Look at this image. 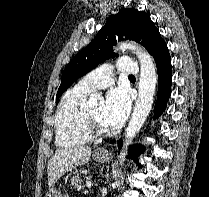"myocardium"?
I'll list each match as a JSON object with an SVG mask.
<instances>
[{"instance_id": "f54148a6", "label": "myocardium", "mask_w": 209, "mask_h": 197, "mask_svg": "<svg viewBox=\"0 0 209 197\" xmlns=\"http://www.w3.org/2000/svg\"><path fill=\"white\" fill-rule=\"evenodd\" d=\"M83 127L85 131L93 138L96 136H102L108 133V129L99 125L88 110V106L85 104L82 111Z\"/></svg>"}]
</instances>
